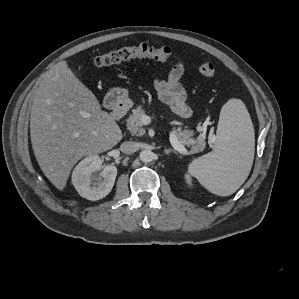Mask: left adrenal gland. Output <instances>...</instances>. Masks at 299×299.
Here are the masks:
<instances>
[{"instance_id": "1", "label": "left adrenal gland", "mask_w": 299, "mask_h": 299, "mask_svg": "<svg viewBox=\"0 0 299 299\" xmlns=\"http://www.w3.org/2000/svg\"><path fill=\"white\" fill-rule=\"evenodd\" d=\"M164 153L166 154V155H169L170 153H175V154H177V152L175 151V150H173V149H164Z\"/></svg>"}]
</instances>
